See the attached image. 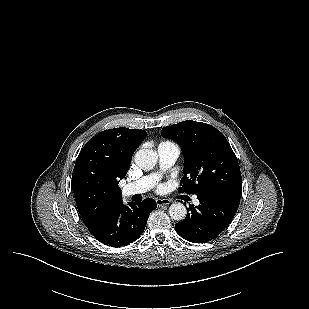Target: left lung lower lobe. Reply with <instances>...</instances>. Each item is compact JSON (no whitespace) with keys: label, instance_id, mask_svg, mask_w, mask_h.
<instances>
[{"label":"left lung lower lobe","instance_id":"0a47b994","mask_svg":"<svg viewBox=\"0 0 309 309\" xmlns=\"http://www.w3.org/2000/svg\"><path fill=\"white\" fill-rule=\"evenodd\" d=\"M199 206L190 205L186 218L175 225L176 232L193 243L208 242L231 223L240 197L227 194H199Z\"/></svg>","mask_w":309,"mask_h":309}]
</instances>
